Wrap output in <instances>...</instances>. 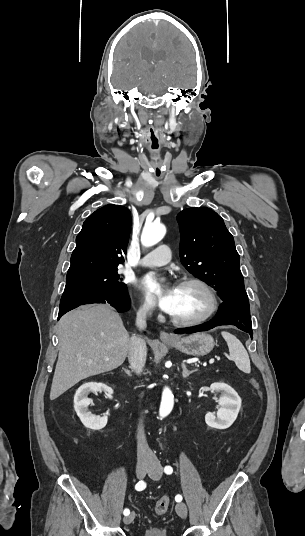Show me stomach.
Wrapping results in <instances>:
<instances>
[{
    "instance_id": "0dacf381",
    "label": "stomach",
    "mask_w": 305,
    "mask_h": 536,
    "mask_svg": "<svg viewBox=\"0 0 305 536\" xmlns=\"http://www.w3.org/2000/svg\"><path fill=\"white\" fill-rule=\"evenodd\" d=\"M170 344L182 354H188V356H206L209 352H212L215 344L212 336L205 334V332H198V334H192L187 338H176V340H170L166 342Z\"/></svg>"
}]
</instances>
